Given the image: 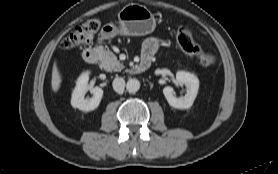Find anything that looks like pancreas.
<instances>
[{
  "label": "pancreas",
  "instance_id": "1",
  "mask_svg": "<svg viewBox=\"0 0 278 174\" xmlns=\"http://www.w3.org/2000/svg\"><path fill=\"white\" fill-rule=\"evenodd\" d=\"M100 61L101 67L107 72H119L124 68V65L117 59L116 55L110 50H102Z\"/></svg>",
  "mask_w": 278,
  "mask_h": 174
}]
</instances>
